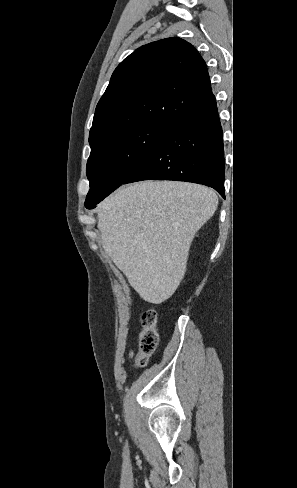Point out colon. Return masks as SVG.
Segmentation results:
<instances>
[{
  "instance_id": "5ec220e1",
  "label": "colon",
  "mask_w": 297,
  "mask_h": 488,
  "mask_svg": "<svg viewBox=\"0 0 297 488\" xmlns=\"http://www.w3.org/2000/svg\"><path fill=\"white\" fill-rule=\"evenodd\" d=\"M157 313L153 309L146 310L141 316V330L138 333V353L134 358L137 367L147 364L154 354L159 343V334L156 330Z\"/></svg>"
}]
</instances>
